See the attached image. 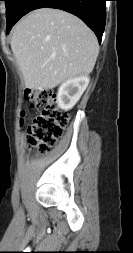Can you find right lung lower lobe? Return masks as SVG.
Returning a JSON list of instances; mask_svg holds the SVG:
<instances>
[{"label": "right lung lower lobe", "instance_id": "right-lung-lower-lobe-1", "mask_svg": "<svg viewBox=\"0 0 133 253\" xmlns=\"http://www.w3.org/2000/svg\"><path fill=\"white\" fill-rule=\"evenodd\" d=\"M106 0H24L18 20L28 12L43 8H57L70 12L89 26L101 42L106 21Z\"/></svg>", "mask_w": 133, "mask_h": 253}]
</instances>
